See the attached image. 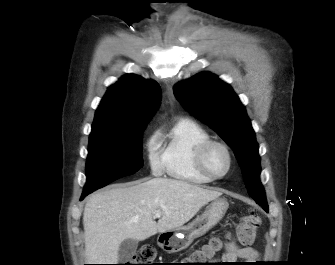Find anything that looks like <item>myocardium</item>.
<instances>
[{
	"label": "myocardium",
	"mask_w": 335,
	"mask_h": 265,
	"mask_svg": "<svg viewBox=\"0 0 335 265\" xmlns=\"http://www.w3.org/2000/svg\"><path fill=\"white\" fill-rule=\"evenodd\" d=\"M213 147L222 148L225 151V153L227 155V158H228L227 169L224 173H222L220 175L214 174L208 168L207 163H206V158H207L208 152ZM233 163H234V159H233V154H232V151H231L230 147L226 143H224L222 141H219V140L210 139V140L204 142L199 147V149L197 151V154H196V164H197L198 169L201 171V173H203L206 177L210 178L211 180H219V179H222V178L226 177L230 173V171L232 170Z\"/></svg>",
	"instance_id": "1"
}]
</instances>
